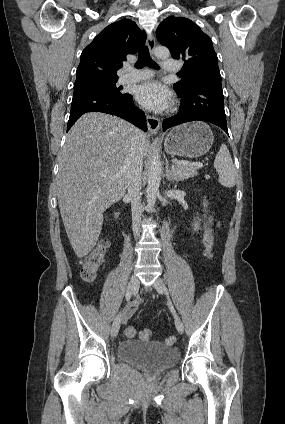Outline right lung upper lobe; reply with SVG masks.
I'll return each instance as SVG.
<instances>
[{"mask_svg": "<svg viewBox=\"0 0 285 424\" xmlns=\"http://www.w3.org/2000/svg\"><path fill=\"white\" fill-rule=\"evenodd\" d=\"M145 41L146 33L132 20L110 24L83 50L75 84L118 80L117 70L126 56L137 52Z\"/></svg>", "mask_w": 285, "mask_h": 424, "instance_id": "1", "label": "right lung upper lobe"}]
</instances>
